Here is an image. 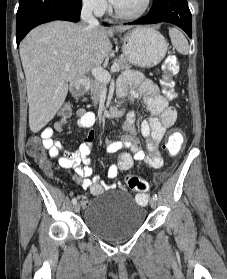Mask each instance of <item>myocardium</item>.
I'll list each match as a JSON object with an SVG mask.
<instances>
[{"label": "myocardium", "mask_w": 227, "mask_h": 279, "mask_svg": "<svg viewBox=\"0 0 227 279\" xmlns=\"http://www.w3.org/2000/svg\"><path fill=\"white\" fill-rule=\"evenodd\" d=\"M151 6V0H144V4L142 6V8L135 12V13H130V14H126L121 12L116 6L115 4L112 5L113 8V12L115 14L116 17L120 18V19H138L142 16H144L148 10L150 9Z\"/></svg>", "instance_id": "1"}]
</instances>
